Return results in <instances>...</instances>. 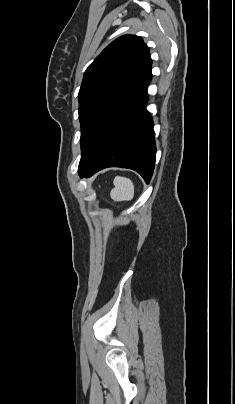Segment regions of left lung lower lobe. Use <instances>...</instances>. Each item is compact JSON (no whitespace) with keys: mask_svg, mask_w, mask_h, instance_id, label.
Masks as SVG:
<instances>
[{"mask_svg":"<svg viewBox=\"0 0 235 404\" xmlns=\"http://www.w3.org/2000/svg\"><path fill=\"white\" fill-rule=\"evenodd\" d=\"M151 77L98 130L81 156V178L107 167H121L135 170L149 183L156 159L153 122L145 109Z\"/></svg>","mask_w":235,"mask_h":404,"instance_id":"1","label":"left lung lower lobe"}]
</instances>
